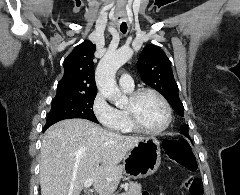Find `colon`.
Returning a JSON list of instances; mask_svg holds the SVG:
<instances>
[{
	"mask_svg": "<svg viewBox=\"0 0 240 195\" xmlns=\"http://www.w3.org/2000/svg\"><path fill=\"white\" fill-rule=\"evenodd\" d=\"M163 150L169 158L187 170L193 171L197 169V159L192 152V147L188 139L177 138L165 140L163 142ZM188 193L189 195H203V184L199 178H188Z\"/></svg>",
	"mask_w": 240,
	"mask_h": 195,
	"instance_id": "1",
	"label": "colon"
}]
</instances>
